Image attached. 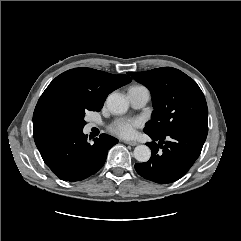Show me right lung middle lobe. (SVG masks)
<instances>
[{"instance_id":"right-lung-middle-lobe-1","label":"right lung middle lobe","mask_w":241,"mask_h":241,"mask_svg":"<svg viewBox=\"0 0 241 241\" xmlns=\"http://www.w3.org/2000/svg\"><path fill=\"white\" fill-rule=\"evenodd\" d=\"M86 111L65 107H53L43 113L37 123L36 131L43 132L61 128L83 129Z\"/></svg>"}]
</instances>
